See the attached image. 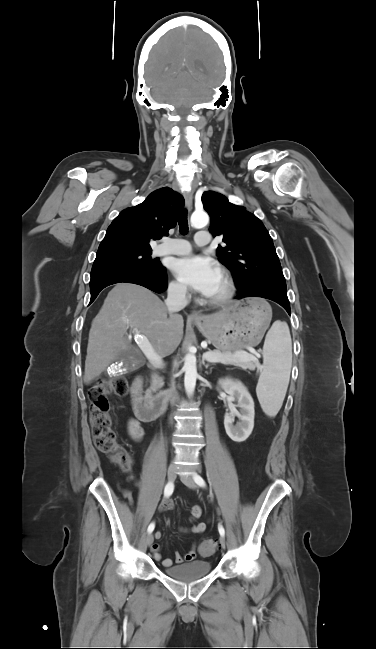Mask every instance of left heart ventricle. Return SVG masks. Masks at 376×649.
Wrapping results in <instances>:
<instances>
[{
    "label": "left heart ventricle",
    "instance_id": "left-heart-ventricle-1",
    "mask_svg": "<svg viewBox=\"0 0 376 649\" xmlns=\"http://www.w3.org/2000/svg\"><path fill=\"white\" fill-rule=\"evenodd\" d=\"M225 290V283L220 275L219 279L217 280L212 292L208 295V297L214 298L220 296Z\"/></svg>",
    "mask_w": 376,
    "mask_h": 649
}]
</instances>
